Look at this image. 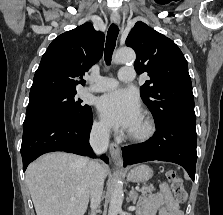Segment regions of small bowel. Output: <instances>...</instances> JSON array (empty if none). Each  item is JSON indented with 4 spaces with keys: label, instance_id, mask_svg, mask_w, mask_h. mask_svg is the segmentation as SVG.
Wrapping results in <instances>:
<instances>
[{
    "label": "small bowel",
    "instance_id": "1",
    "mask_svg": "<svg viewBox=\"0 0 223 215\" xmlns=\"http://www.w3.org/2000/svg\"><path fill=\"white\" fill-rule=\"evenodd\" d=\"M139 215H184V213L173 199L169 188L163 184L159 191L141 199Z\"/></svg>",
    "mask_w": 223,
    "mask_h": 215
}]
</instances>
